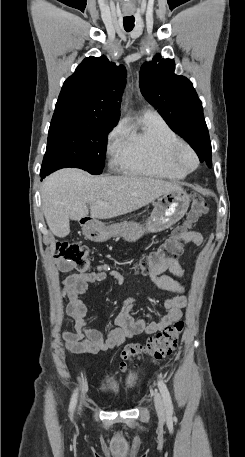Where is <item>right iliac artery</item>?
<instances>
[{
    "mask_svg": "<svg viewBox=\"0 0 245 457\" xmlns=\"http://www.w3.org/2000/svg\"><path fill=\"white\" fill-rule=\"evenodd\" d=\"M76 398H77V391H75L72 395L70 407H69L70 412H72L76 406V401H77Z\"/></svg>",
    "mask_w": 245,
    "mask_h": 457,
    "instance_id": "82829eb1",
    "label": "right iliac artery"
}]
</instances>
